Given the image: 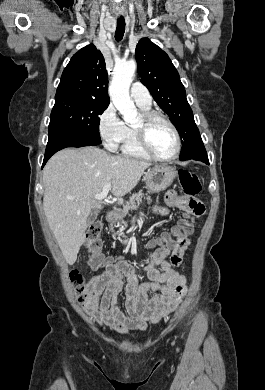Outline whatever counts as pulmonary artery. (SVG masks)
<instances>
[{
	"label": "pulmonary artery",
	"instance_id": "1",
	"mask_svg": "<svg viewBox=\"0 0 265 390\" xmlns=\"http://www.w3.org/2000/svg\"><path fill=\"white\" fill-rule=\"evenodd\" d=\"M130 95L133 101L139 107H150L152 99L148 89L140 82H134L130 89Z\"/></svg>",
	"mask_w": 265,
	"mask_h": 390
}]
</instances>
